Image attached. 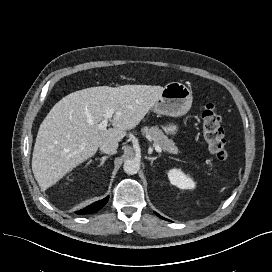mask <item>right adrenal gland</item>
<instances>
[{
	"label": "right adrenal gland",
	"mask_w": 272,
	"mask_h": 272,
	"mask_svg": "<svg viewBox=\"0 0 272 272\" xmlns=\"http://www.w3.org/2000/svg\"><path fill=\"white\" fill-rule=\"evenodd\" d=\"M109 158V156H103L101 158H96V160H100V164L99 166L103 165L105 163V161Z\"/></svg>",
	"instance_id": "obj_1"
}]
</instances>
